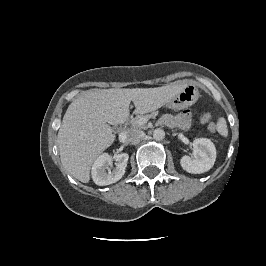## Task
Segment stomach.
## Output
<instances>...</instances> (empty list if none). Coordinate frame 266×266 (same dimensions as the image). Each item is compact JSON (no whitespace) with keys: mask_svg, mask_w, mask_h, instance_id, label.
<instances>
[{"mask_svg":"<svg viewBox=\"0 0 266 266\" xmlns=\"http://www.w3.org/2000/svg\"><path fill=\"white\" fill-rule=\"evenodd\" d=\"M199 93L193 83H186L182 89L168 102V107L172 109H183L191 106L198 99Z\"/></svg>","mask_w":266,"mask_h":266,"instance_id":"stomach-1","label":"stomach"}]
</instances>
